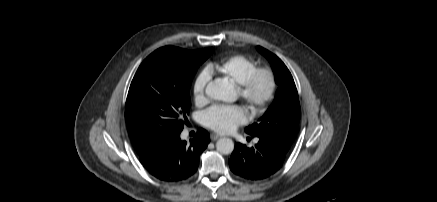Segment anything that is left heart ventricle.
<instances>
[{
  "label": "left heart ventricle",
  "instance_id": "b2bd125f",
  "mask_svg": "<svg viewBox=\"0 0 437 202\" xmlns=\"http://www.w3.org/2000/svg\"><path fill=\"white\" fill-rule=\"evenodd\" d=\"M267 88V82L264 78H261L257 81L256 85H255V92L257 94H263L265 92Z\"/></svg>",
  "mask_w": 437,
  "mask_h": 202
}]
</instances>
